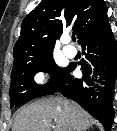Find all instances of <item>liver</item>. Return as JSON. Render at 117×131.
<instances>
[{
	"label": "liver",
	"mask_w": 117,
	"mask_h": 131,
	"mask_svg": "<svg viewBox=\"0 0 117 131\" xmlns=\"http://www.w3.org/2000/svg\"><path fill=\"white\" fill-rule=\"evenodd\" d=\"M86 131L91 126L89 114L78 104L62 98L38 100L20 109L12 131Z\"/></svg>",
	"instance_id": "liver-1"
}]
</instances>
